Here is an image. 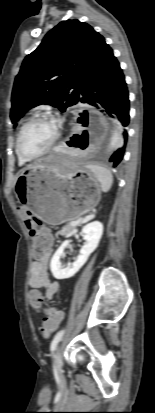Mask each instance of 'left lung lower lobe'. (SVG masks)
I'll use <instances>...</instances> for the list:
<instances>
[{"mask_svg": "<svg viewBox=\"0 0 155 413\" xmlns=\"http://www.w3.org/2000/svg\"><path fill=\"white\" fill-rule=\"evenodd\" d=\"M80 99L83 103L91 104L102 112L117 115L123 126L129 123V98L125 78L119 62L113 55L112 49L107 46L99 61L84 81ZM111 116V115H110ZM124 145L110 158L113 167H116L123 159L125 144L127 142V130L123 132Z\"/></svg>", "mask_w": 155, "mask_h": 413, "instance_id": "left-lung-lower-lobe-1", "label": "left lung lower lobe"}]
</instances>
